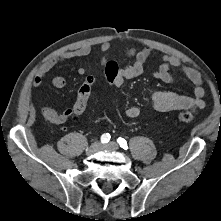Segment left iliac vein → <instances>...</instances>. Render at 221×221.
<instances>
[{
    "label": "left iliac vein",
    "instance_id": "left-iliac-vein-1",
    "mask_svg": "<svg viewBox=\"0 0 221 221\" xmlns=\"http://www.w3.org/2000/svg\"><path fill=\"white\" fill-rule=\"evenodd\" d=\"M102 149H108L111 151H116L119 149V145L116 142H109L101 146Z\"/></svg>",
    "mask_w": 221,
    "mask_h": 221
}]
</instances>
